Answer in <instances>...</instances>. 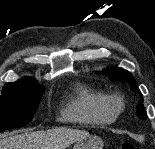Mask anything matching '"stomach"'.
<instances>
[{
  "mask_svg": "<svg viewBox=\"0 0 155 149\" xmlns=\"http://www.w3.org/2000/svg\"><path fill=\"white\" fill-rule=\"evenodd\" d=\"M72 149H103V141L96 135H88L76 141Z\"/></svg>",
  "mask_w": 155,
  "mask_h": 149,
  "instance_id": "stomach-1",
  "label": "stomach"
}]
</instances>
